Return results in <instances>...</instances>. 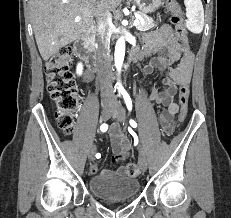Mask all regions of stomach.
Wrapping results in <instances>:
<instances>
[{
  "mask_svg": "<svg viewBox=\"0 0 231 218\" xmlns=\"http://www.w3.org/2000/svg\"><path fill=\"white\" fill-rule=\"evenodd\" d=\"M142 13H153L159 9L164 0H133Z\"/></svg>",
  "mask_w": 231,
  "mask_h": 218,
  "instance_id": "1",
  "label": "stomach"
}]
</instances>
